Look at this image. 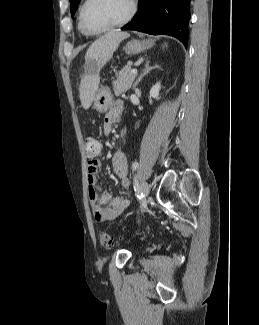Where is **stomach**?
<instances>
[{"instance_id":"0dacf381","label":"stomach","mask_w":259,"mask_h":325,"mask_svg":"<svg viewBox=\"0 0 259 325\" xmlns=\"http://www.w3.org/2000/svg\"><path fill=\"white\" fill-rule=\"evenodd\" d=\"M154 44L155 42L152 39H133L125 45L124 50L128 55H135L150 49ZM112 100L113 97L110 90L106 87H101L95 93L93 106L99 113H105L110 108Z\"/></svg>"}]
</instances>
